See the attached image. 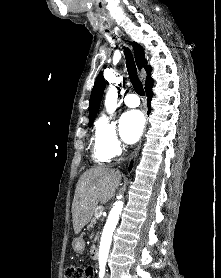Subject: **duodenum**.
<instances>
[{
  "label": "duodenum",
  "mask_w": 221,
  "mask_h": 278,
  "mask_svg": "<svg viewBox=\"0 0 221 278\" xmlns=\"http://www.w3.org/2000/svg\"><path fill=\"white\" fill-rule=\"evenodd\" d=\"M91 257L94 260H96L98 258V247L97 246H93L91 248Z\"/></svg>",
  "instance_id": "410a0bca"
}]
</instances>
